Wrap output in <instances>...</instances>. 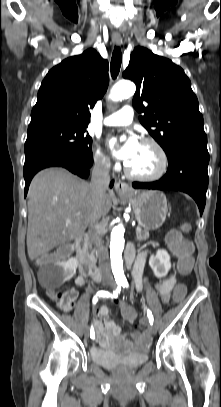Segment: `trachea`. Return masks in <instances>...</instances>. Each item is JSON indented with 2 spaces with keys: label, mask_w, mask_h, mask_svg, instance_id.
Instances as JSON below:
<instances>
[{
  "label": "trachea",
  "mask_w": 221,
  "mask_h": 407,
  "mask_svg": "<svg viewBox=\"0 0 221 407\" xmlns=\"http://www.w3.org/2000/svg\"><path fill=\"white\" fill-rule=\"evenodd\" d=\"M121 63H122V54H121V50L119 47L115 46L113 53H112V58H111V76L113 79H115L120 71V67H121Z\"/></svg>",
  "instance_id": "3493384b"
}]
</instances>
